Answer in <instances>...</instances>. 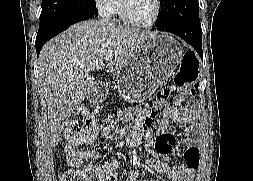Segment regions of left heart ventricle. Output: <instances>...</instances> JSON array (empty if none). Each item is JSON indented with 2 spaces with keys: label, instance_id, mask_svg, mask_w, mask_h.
Returning a JSON list of instances; mask_svg holds the SVG:
<instances>
[{
  "label": "left heart ventricle",
  "instance_id": "b2bd125f",
  "mask_svg": "<svg viewBox=\"0 0 253 181\" xmlns=\"http://www.w3.org/2000/svg\"><path fill=\"white\" fill-rule=\"evenodd\" d=\"M125 3L129 15L136 21L147 22L154 14V0H125Z\"/></svg>",
  "mask_w": 253,
  "mask_h": 181
}]
</instances>
